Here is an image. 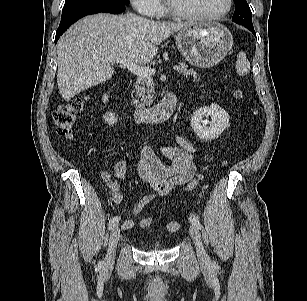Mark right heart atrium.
I'll return each mask as SVG.
<instances>
[{
	"instance_id": "obj_1",
	"label": "right heart atrium",
	"mask_w": 307,
	"mask_h": 301,
	"mask_svg": "<svg viewBox=\"0 0 307 301\" xmlns=\"http://www.w3.org/2000/svg\"><path fill=\"white\" fill-rule=\"evenodd\" d=\"M131 4L140 14L151 18H158L163 13L160 0H130Z\"/></svg>"
}]
</instances>
